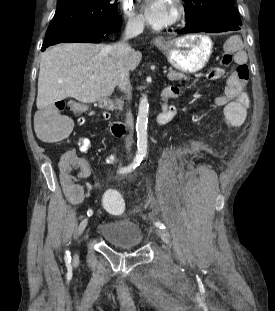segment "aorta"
Masks as SVG:
<instances>
[{
  "mask_svg": "<svg viewBox=\"0 0 275 311\" xmlns=\"http://www.w3.org/2000/svg\"><path fill=\"white\" fill-rule=\"evenodd\" d=\"M148 99L146 95H143L140 99L138 116L136 122L137 131V146L138 152L143 154L147 151V123H148Z\"/></svg>",
  "mask_w": 275,
  "mask_h": 311,
  "instance_id": "aorta-1",
  "label": "aorta"
}]
</instances>
